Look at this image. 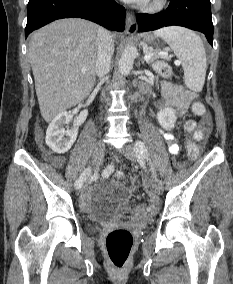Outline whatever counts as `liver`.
<instances>
[{
  "mask_svg": "<svg viewBox=\"0 0 233 284\" xmlns=\"http://www.w3.org/2000/svg\"><path fill=\"white\" fill-rule=\"evenodd\" d=\"M98 28L90 21L69 18L54 21L32 35L28 54L46 122L83 101L92 91Z\"/></svg>",
  "mask_w": 233,
  "mask_h": 284,
  "instance_id": "obj_1",
  "label": "liver"
}]
</instances>
